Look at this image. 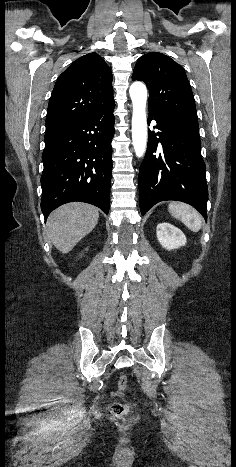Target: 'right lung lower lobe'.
Masks as SVG:
<instances>
[{
  "label": "right lung lower lobe",
  "mask_w": 236,
  "mask_h": 467,
  "mask_svg": "<svg viewBox=\"0 0 236 467\" xmlns=\"http://www.w3.org/2000/svg\"><path fill=\"white\" fill-rule=\"evenodd\" d=\"M115 104L45 133L41 210L47 219L62 204L81 201L109 212Z\"/></svg>",
  "instance_id": "obj_1"
}]
</instances>
